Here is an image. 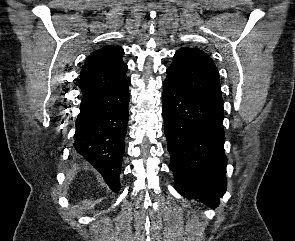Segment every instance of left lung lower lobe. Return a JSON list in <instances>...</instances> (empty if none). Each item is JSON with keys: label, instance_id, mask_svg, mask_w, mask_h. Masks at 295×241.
<instances>
[{"label": "left lung lower lobe", "instance_id": "0a47b994", "mask_svg": "<svg viewBox=\"0 0 295 241\" xmlns=\"http://www.w3.org/2000/svg\"><path fill=\"white\" fill-rule=\"evenodd\" d=\"M163 118L176 190L211 208L226 191L223 104L203 98L167 71Z\"/></svg>", "mask_w": 295, "mask_h": 241}]
</instances>
